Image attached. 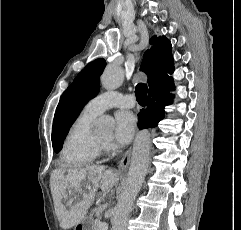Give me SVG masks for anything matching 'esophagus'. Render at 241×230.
<instances>
[{
    "label": "esophagus",
    "mask_w": 241,
    "mask_h": 230,
    "mask_svg": "<svg viewBox=\"0 0 241 230\" xmlns=\"http://www.w3.org/2000/svg\"><path fill=\"white\" fill-rule=\"evenodd\" d=\"M131 158V148H129L125 154L123 155L122 159L119 162V170L123 171L128 168Z\"/></svg>",
    "instance_id": "34e87169"
}]
</instances>
